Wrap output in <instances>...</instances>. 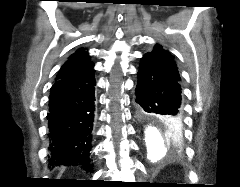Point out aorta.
Wrapping results in <instances>:
<instances>
[{"label": "aorta", "mask_w": 240, "mask_h": 187, "mask_svg": "<svg viewBox=\"0 0 240 187\" xmlns=\"http://www.w3.org/2000/svg\"><path fill=\"white\" fill-rule=\"evenodd\" d=\"M144 139L147 147V158L155 162L166 153V141L159 129L152 125H147L144 130Z\"/></svg>", "instance_id": "1"}]
</instances>
